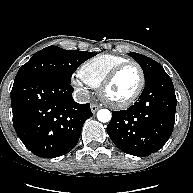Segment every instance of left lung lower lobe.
<instances>
[{"label": "left lung lower lobe", "instance_id": "obj_1", "mask_svg": "<svg viewBox=\"0 0 193 193\" xmlns=\"http://www.w3.org/2000/svg\"><path fill=\"white\" fill-rule=\"evenodd\" d=\"M176 96L171 78L163 70L145 83L134 105L112 111L107 132L123 152L148 156L169 139L175 121Z\"/></svg>", "mask_w": 193, "mask_h": 193}]
</instances>
